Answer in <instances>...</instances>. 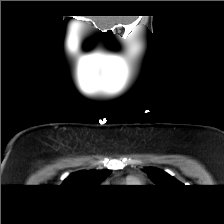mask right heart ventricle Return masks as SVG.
Masks as SVG:
<instances>
[{"label":"right heart ventricle","instance_id":"1","mask_svg":"<svg viewBox=\"0 0 224 224\" xmlns=\"http://www.w3.org/2000/svg\"><path fill=\"white\" fill-rule=\"evenodd\" d=\"M126 182H127L129 185H135V184H136V180H134L133 178L127 179Z\"/></svg>","mask_w":224,"mask_h":224}]
</instances>
